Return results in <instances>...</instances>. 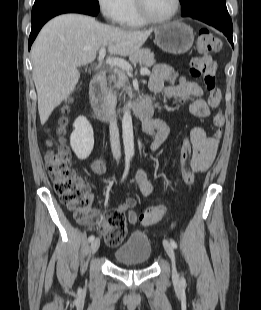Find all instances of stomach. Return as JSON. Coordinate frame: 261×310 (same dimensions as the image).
<instances>
[{
	"label": "stomach",
	"instance_id": "obj_1",
	"mask_svg": "<svg viewBox=\"0 0 261 310\" xmlns=\"http://www.w3.org/2000/svg\"><path fill=\"white\" fill-rule=\"evenodd\" d=\"M193 41V29L179 21L166 23L155 30V43L171 54L186 53L192 47Z\"/></svg>",
	"mask_w": 261,
	"mask_h": 310
}]
</instances>
